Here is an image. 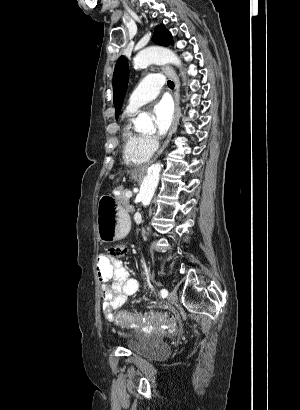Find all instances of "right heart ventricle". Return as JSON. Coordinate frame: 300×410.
<instances>
[{
  "label": "right heart ventricle",
  "mask_w": 300,
  "mask_h": 410,
  "mask_svg": "<svg viewBox=\"0 0 300 410\" xmlns=\"http://www.w3.org/2000/svg\"><path fill=\"white\" fill-rule=\"evenodd\" d=\"M134 112H126V120L122 128L123 160L127 164H140L146 162L152 155L144 141V136L131 127L130 117Z\"/></svg>",
  "instance_id": "obj_1"
}]
</instances>
